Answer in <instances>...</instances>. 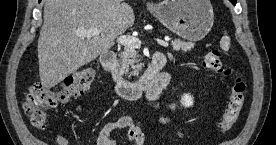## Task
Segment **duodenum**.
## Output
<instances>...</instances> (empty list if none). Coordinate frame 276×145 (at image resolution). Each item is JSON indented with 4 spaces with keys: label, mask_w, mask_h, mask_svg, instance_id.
Returning a JSON list of instances; mask_svg holds the SVG:
<instances>
[{
    "label": "duodenum",
    "mask_w": 276,
    "mask_h": 145,
    "mask_svg": "<svg viewBox=\"0 0 276 145\" xmlns=\"http://www.w3.org/2000/svg\"><path fill=\"white\" fill-rule=\"evenodd\" d=\"M100 62L103 68L111 74L116 85V92L123 99L137 100L144 93L161 92L169 81V74L162 71L166 64V57L161 52L153 55L145 72L135 82H130L123 77L114 51H104L100 56Z\"/></svg>",
    "instance_id": "410a0bca"
}]
</instances>
